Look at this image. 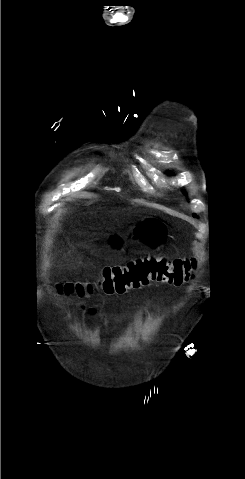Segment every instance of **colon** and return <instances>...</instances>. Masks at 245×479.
Returning a JSON list of instances; mask_svg holds the SVG:
<instances>
[{
    "mask_svg": "<svg viewBox=\"0 0 245 479\" xmlns=\"http://www.w3.org/2000/svg\"><path fill=\"white\" fill-rule=\"evenodd\" d=\"M196 269L194 259H167L147 255L136 257L124 265L107 266L98 280L91 283L68 282L61 284L64 293L84 295L98 289L106 294L124 293L150 283H168L176 286L186 283Z\"/></svg>",
    "mask_w": 245,
    "mask_h": 479,
    "instance_id": "obj_1",
    "label": "colon"
}]
</instances>
